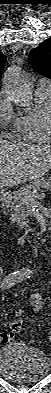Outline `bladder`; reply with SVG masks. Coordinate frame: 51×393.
Listing matches in <instances>:
<instances>
[{
    "mask_svg": "<svg viewBox=\"0 0 51 393\" xmlns=\"http://www.w3.org/2000/svg\"><path fill=\"white\" fill-rule=\"evenodd\" d=\"M0 370L14 382H35L50 374L51 362L41 350L8 345L0 351Z\"/></svg>",
    "mask_w": 51,
    "mask_h": 393,
    "instance_id": "obj_1",
    "label": "bladder"
}]
</instances>
